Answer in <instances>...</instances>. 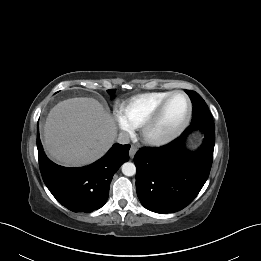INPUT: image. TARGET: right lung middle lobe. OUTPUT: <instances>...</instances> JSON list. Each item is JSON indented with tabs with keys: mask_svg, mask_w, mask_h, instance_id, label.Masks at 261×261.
Instances as JSON below:
<instances>
[{
	"mask_svg": "<svg viewBox=\"0 0 261 261\" xmlns=\"http://www.w3.org/2000/svg\"><path fill=\"white\" fill-rule=\"evenodd\" d=\"M107 92H108L112 97H114V94H115V90H114V89L107 90Z\"/></svg>",
	"mask_w": 261,
	"mask_h": 261,
	"instance_id": "right-lung-middle-lobe-1",
	"label": "right lung middle lobe"
}]
</instances>
